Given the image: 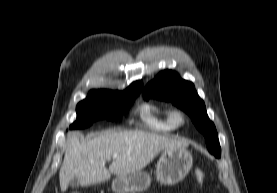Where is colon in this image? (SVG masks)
Instances as JSON below:
<instances>
[{"label": "colon", "instance_id": "5ec220e1", "mask_svg": "<svg viewBox=\"0 0 277 193\" xmlns=\"http://www.w3.org/2000/svg\"><path fill=\"white\" fill-rule=\"evenodd\" d=\"M194 175H195V180L197 183L199 184H202L204 179H205V174L204 172L201 170V169H196L195 172H194ZM72 193H80V192H72Z\"/></svg>", "mask_w": 277, "mask_h": 193}]
</instances>
